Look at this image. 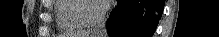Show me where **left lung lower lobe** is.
Segmentation results:
<instances>
[{
  "label": "left lung lower lobe",
  "instance_id": "1",
  "mask_svg": "<svg viewBox=\"0 0 219 37\" xmlns=\"http://www.w3.org/2000/svg\"><path fill=\"white\" fill-rule=\"evenodd\" d=\"M106 22L109 37H152L164 0H117Z\"/></svg>",
  "mask_w": 219,
  "mask_h": 37
}]
</instances>
